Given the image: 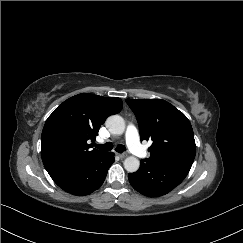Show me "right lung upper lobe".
Returning a JSON list of instances; mask_svg holds the SVG:
<instances>
[{
	"label": "right lung upper lobe",
	"instance_id": "1",
	"mask_svg": "<svg viewBox=\"0 0 243 243\" xmlns=\"http://www.w3.org/2000/svg\"><path fill=\"white\" fill-rule=\"evenodd\" d=\"M122 100L88 93L64 101L46 120L41 156L48 173L80 165L103 151L91 149L100 126L122 109Z\"/></svg>",
	"mask_w": 243,
	"mask_h": 243
}]
</instances>
